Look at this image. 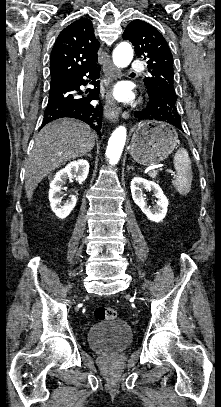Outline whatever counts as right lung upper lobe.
Instances as JSON below:
<instances>
[{
	"instance_id": "right-lung-upper-lobe-1",
	"label": "right lung upper lobe",
	"mask_w": 221,
	"mask_h": 407,
	"mask_svg": "<svg viewBox=\"0 0 221 407\" xmlns=\"http://www.w3.org/2000/svg\"><path fill=\"white\" fill-rule=\"evenodd\" d=\"M99 46L89 19L82 18L68 25L56 39L51 52L50 86L95 65Z\"/></svg>"
}]
</instances>
